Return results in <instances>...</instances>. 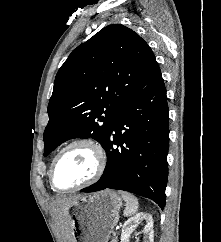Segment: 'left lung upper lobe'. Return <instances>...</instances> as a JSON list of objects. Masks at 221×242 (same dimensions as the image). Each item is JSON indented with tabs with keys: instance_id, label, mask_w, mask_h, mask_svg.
I'll return each instance as SVG.
<instances>
[{
	"instance_id": "5c2ea615",
	"label": "left lung upper lobe",
	"mask_w": 221,
	"mask_h": 242,
	"mask_svg": "<svg viewBox=\"0 0 221 242\" xmlns=\"http://www.w3.org/2000/svg\"><path fill=\"white\" fill-rule=\"evenodd\" d=\"M158 70L148 44L121 24L109 25L79 45L55 78L44 156L71 138L92 137L103 146L118 112Z\"/></svg>"
}]
</instances>
